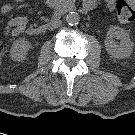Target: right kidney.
<instances>
[{
    "label": "right kidney",
    "instance_id": "1",
    "mask_svg": "<svg viewBox=\"0 0 135 135\" xmlns=\"http://www.w3.org/2000/svg\"><path fill=\"white\" fill-rule=\"evenodd\" d=\"M30 48L31 44L25 38L15 40L10 49L11 59L17 62L24 60Z\"/></svg>",
    "mask_w": 135,
    "mask_h": 135
}]
</instances>
